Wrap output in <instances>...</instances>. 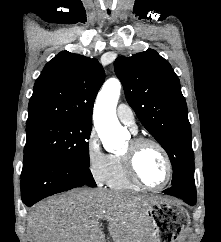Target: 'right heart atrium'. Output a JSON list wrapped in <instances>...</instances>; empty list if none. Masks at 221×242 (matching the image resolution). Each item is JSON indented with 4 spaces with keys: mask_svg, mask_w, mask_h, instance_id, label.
<instances>
[{
    "mask_svg": "<svg viewBox=\"0 0 221 242\" xmlns=\"http://www.w3.org/2000/svg\"><path fill=\"white\" fill-rule=\"evenodd\" d=\"M85 151L87 166L91 176L96 183H104L108 174L110 155L103 151L94 130L90 132L86 139Z\"/></svg>",
    "mask_w": 221,
    "mask_h": 242,
    "instance_id": "obj_1",
    "label": "right heart atrium"
}]
</instances>
